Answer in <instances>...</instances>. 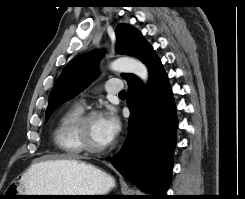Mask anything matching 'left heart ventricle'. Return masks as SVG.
<instances>
[{"label":"left heart ventricle","instance_id":"b2bd125f","mask_svg":"<svg viewBox=\"0 0 245 199\" xmlns=\"http://www.w3.org/2000/svg\"><path fill=\"white\" fill-rule=\"evenodd\" d=\"M85 139L94 147L108 146L101 123V116L92 118L86 125Z\"/></svg>","mask_w":245,"mask_h":199}]
</instances>
